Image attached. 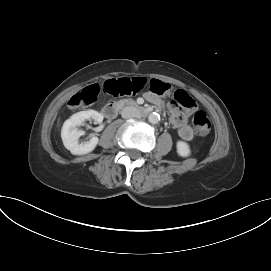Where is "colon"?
<instances>
[{
  "instance_id": "obj_1",
  "label": "colon",
  "mask_w": 271,
  "mask_h": 271,
  "mask_svg": "<svg viewBox=\"0 0 271 271\" xmlns=\"http://www.w3.org/2000/svg\"><path fill=\"white\" fill-rule=\"evenodd\" d=\"M148 86L149 82L144 78L112 79L106 81L102 86L92 84L85 87L69 99L68 106L72 109L89 106L96 101L101 91L113 96H126L138 93ZM168 89L169 86L167 91ZM172 104L174 106L180 105L188 109L194 108L195 106L194 100L183 90H177L174 93ZM193 125L198 134L202 136L207 135L211 129L210 120L207 114L203 111L195 112L193 116Z\"/></svg>"
}]
</instances>
